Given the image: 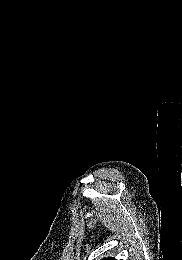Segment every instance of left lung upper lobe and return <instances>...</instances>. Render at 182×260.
<instances>
[{
	"label": "left lung upper lobe",
	"instance_id": "5c2ea615",
	"mask_svg": "<svg viewBox=\"0 0 182 260\" xmlns=\"http://www.w3.org/2000/svg\"><path fill=\"white\" fill-rule=\"evenodd\" d=\"M103 260H116V259L109 257V258H104Z\"/></svg>",
	"mask_w": 182,
	"mask_h": 260
}]
</instances>
